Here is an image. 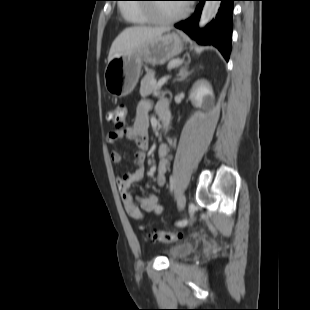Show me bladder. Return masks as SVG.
Segmentation results:
<instances>
[{
	"label": "bladder",
	"instance_id": "1",
	"mask_svg": "<svg viewBox=\"0 0 310 310\" xmlns=\"http://www.w3.org/2000/svg\"><path fill=\"white\" fill-rule=\"evenodd\" d=\"M193 248V243L184 242L169 246L166 250L169 259L178 260L189 255L192 252Z\"/></svg>",
	"mask_w": 310,
	"mask_h": 310
}]
</instances>
